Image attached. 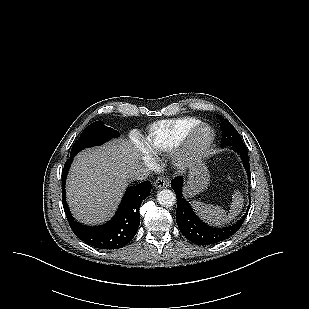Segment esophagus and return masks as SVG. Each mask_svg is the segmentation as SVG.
<instances>
[{"mask_svg":"<svg viewBox=\"0 0 309 309\" xmlns=\"http://www.w3.org/2000/svg\"><path fill=\"white\" fill-rule=\"evenodd\" d=\"M169 184L170 181L166 176H160L154 182V186L158 189L167 188Z\"/></svg>","mask_w":309,"mask_h":309,"instance_id":"esophagus-1","label":"esophagus"}]
</instances>
